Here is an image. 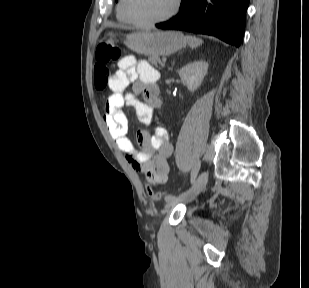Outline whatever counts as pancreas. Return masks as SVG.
Segmentation results:
<instances>
[{
    "mask_svg": "<svg viewBox=\"0 0 309 288\" xmlns=\"http://www.w3.org/2000/svg\"><path fill=\"white\" fill-rule=\"evenodd\" d=\"M149 62L152 64V65H157L158 63L161 64V60L159 57H149L148 58Z\"/></svg>",
    "mask_w": 309,
    "mask_h": 288,
    "instance_id": "pancreas-1",
    "label": "pancreas"
}]
</instances>
